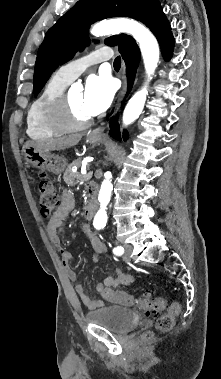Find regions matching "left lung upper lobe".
I'll use <instances>...</instances> for the list:
<instances>
[{
  "label": "left lung upper lobe",
  "instance_id": "left-lung-upper-lobe-1",
  "mask_svg": "<svg viewBox=\"0 0 221 379\" xmlns=\"http://www.w3.org/2000/svg\"><path fill=\"white\" fill-rule=\"evenodd\" d=\"M158 0H80L51 27L41 44L33 78L34 94L43 88L59 65L70 60L77 50L90 42L88 29L98 20L125 16L143 21ZM127 35L111 36L105 40L110 46L119 45Z\"/></svg>",
  "mask_w": 221,
  "mask_h": 379
}]
</instances>
